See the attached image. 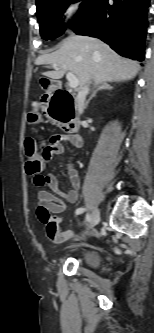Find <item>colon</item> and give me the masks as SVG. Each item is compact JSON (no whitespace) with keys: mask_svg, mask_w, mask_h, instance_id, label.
Segmentation results:
<instances>
[{"mask_svg":"<svg viewBox=\"0 0 154 333\" xmlns=\"http://www.w3.org/2000/svg\"><path fill=\"white\" fill-rule=\"evenodd\" d=\"M64 97L62 95H54L53 99H52V104L58 102V100L63 99ZM38 120V115L37 113L33 112L29 115V121L31 123H35ZM57 122L60 124V126L66 130V131H70L69 127L66 124V120L65 119H60L57 120ZM24 151H25V166H26V171L29 174H36L40 171L41 166H42V159L41 156L39 154V151L37 149V144L36 141L31 138L28 137L25 139L24 142ZM46 230H47V234L49 236V238L52 239H56L58 237V224H57V220L56 219H50L48 220L46 223ZM117 252H119L118 250H116Z\"/></svg>","mask_w":154,"mask_h":333,"instance_id":"colon-1","label":"colon"}]
</instances>
